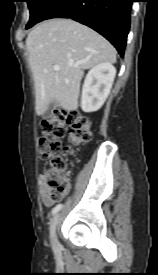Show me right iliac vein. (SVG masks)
<instances>
[{
	"label": "right iliac vein",
	"mask_w": 158,
	"mask_h": 275,
	"mask_svg": "<svg viewBox=\"0 0 158 275\" xmlns=\"http://www.w3.org/2000/svg\"><path fill=\"white\" fill-rule=\"evenodd\" d=\"M59 218H60V214L57 213L51 223H50V235H51V239H52V245L54 248H57L58 246V241H57V235H56V230H57V226H58V223H59Z\"/></svg>",
	"instance_id": "obj_1"
}]
</instances>
